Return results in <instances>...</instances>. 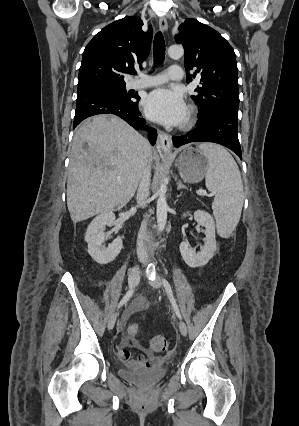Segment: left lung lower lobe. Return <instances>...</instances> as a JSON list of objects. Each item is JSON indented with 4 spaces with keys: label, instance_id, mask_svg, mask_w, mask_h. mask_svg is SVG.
Returning a JSON list of instances; mask_svg holds the SVG:
<instances>
[{
    "label": "left lung lower lobe",
    "instance_id": "1",
    "mask_svg": "<svg viewBox=\"0 0 299 426\" xmlns=\"http://www.w3.org/2000/svg\"><path fill=\"white\" fill-rule=\"evenodd\" d=\"M198 118L199 124L196 129L187 135L172 137L175 147L191 142H214L228 147L240 158L242 157L237 135L238 120L222 112H212Z\"/></svg>",
    "mask_w": 299,
    "mask_h": 426
}]
</instances>
